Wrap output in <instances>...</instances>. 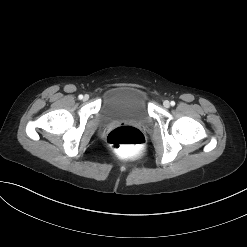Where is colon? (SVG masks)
<instances>
[{"label": "colon", "mask_w": 247, "mask_h": 247, "mask_svg": "<svg viewBox=\"0 0 247 247\" xmlns=\"http://www.w3.org/2000/svg\"><path fill=\"white\" fill-rule=\"evenodd\" d=\"M107 142L116 151H128L141 146L144 143V135L137 128L120 126L109 132Z\"/></svg>", "instance_id": "5ec220e1"}]
</instances>
